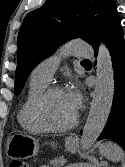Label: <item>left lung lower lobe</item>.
I'll return each instance as SVG.
<instances>
[{
    "mask_svg": "<svg viewBox=\"0 0 125 167\" xmlns=\"http://www.w3.org/2000/svg\"><path fill=\"white\" fill-rule=\"evenodd\" d=\"M102 41L111 55L115 88L111 112L98 140L109 139L125 150V40L120 17L114 21ZM93 48L97 56L98 43Z\"/></svg>",
    "mask_w": 125,
    "mask_h": 167,
    "instance_id": "obj_1",
    "label": "left lung lower lobe"
}]
</instances>
